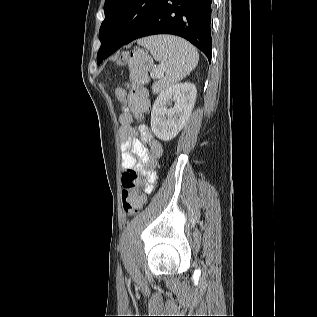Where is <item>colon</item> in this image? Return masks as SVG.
<instances>
[{"mask_svg":"<svg viewBox=\"0 0 317 317\" xmlns=\"http://www.w3.org/2000/svg\"><path fill=\"white\" fill-rule=\"evenodd\" d=\"M118 64L129 70V80L134 87H140L147 81L150 59L138 51L123 54ZM122 205L127 214L139 212L146 202L145 196L139 191L141 181L134 169H127L122 174Z\"/></svg>","mask_w":317,"mask_h":317,"instance_id":"5ec220e1","label":"colon"}]
</instances>
